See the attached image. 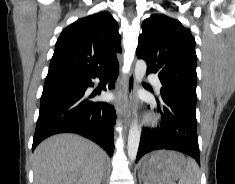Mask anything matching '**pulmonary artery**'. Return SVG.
<instances>
[{"instance_id":"1","label":"pulmonary artery","mask_w":235,"mask_h":184,"mask_svg":"<svg viewBox=\"0 0 235 184\" xmlns=\"http://www.w3.org/2000/svg\"><path fill=\"white\" fill-rule=\"evenodd\" d=\"M150 80L153 82L156 89L160 90L161 83H160L159 79L157 78V76L156 75H150Z\"/></svg>"}]
</instances>
